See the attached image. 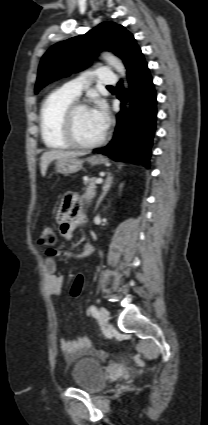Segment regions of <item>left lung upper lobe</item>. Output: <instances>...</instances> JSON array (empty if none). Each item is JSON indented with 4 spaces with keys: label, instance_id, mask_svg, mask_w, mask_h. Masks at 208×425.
I'll return each instance as SVG.
<instances>
[{
    "label": "left lung upper lobe",
    "instance_id": "5c2ea615",
    "mask_svg": "<svg viewBox=\"0 0 208 425\" xmlns=\"http://www.w3.org/2000/svg\"><path fill=\"white\" fill-rule=\"evenodd\" d=\"M104 49L119 56L127 70L142 56L133 35L125 27L114 22L100 23L85 35L53 45L44 54L38 69L35 93L53 80L88 66V56L95 57Z\"/></svg>",
    "mask_w": 208,
    "mask_h": 425
}]
</instances>
